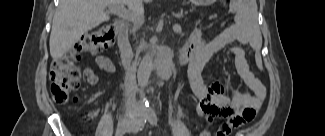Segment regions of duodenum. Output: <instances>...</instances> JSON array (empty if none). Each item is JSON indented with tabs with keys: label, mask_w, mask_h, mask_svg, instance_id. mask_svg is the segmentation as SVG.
<instances>
[{
	"label": "duodenum",
	"mask_w": 325,
	"mask_h": 136,
	"mask_svg": "<svg viewBox=\"0 0 325 136\" xmlns=\"http://www.w3.org/2000/svg\"><path fill=\"white\" fill-rule=\"evenodd\" d=\"M114 28L118 32V46L122 56L123 65L125 68L130 67L133 62L132 50L128 40V26L125 22L117 21ZM191 46L186 43L176 50L175 56L180 66L185 65L190 58Z\"/></svg>",
	"instance_id": "obj_1"
}]
</instances>
